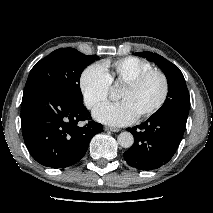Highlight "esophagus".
Listing matches in <instances>:
<instances>
[{
  "label": "esophagus",
  "instance_id": "34e87169",
  "mask_svg": "<svg viewBox=\"0 0 213 213\" xmlns=\"http://www.w3.org/2000/svg\"><path fill=\"white\" fill-rule=\"evenodd\" d=\"M104 130H105V131H111V132H119V131H120L119 128L110 127V126H105V127H104Z\"/></svg>",
  "mask_w": 213,
  "mask_h": 213
}]
</instances>
